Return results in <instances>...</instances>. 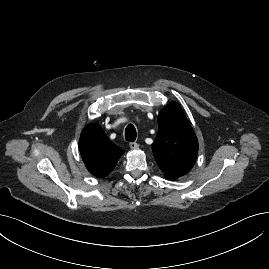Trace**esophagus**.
Wrapping results in <instances>:
<instances>
[{"label":"esophagus","instance_id":"obj_1","mask_svg":"<svg viewBox=\"0 0 269 269\" xmlns=\"http://www.w3.org/2000/svg\"><path fill=\"white\" fill-rule=\"evenodd\" d=\"M129 147H130L131 149H136V148L139 147V144L136 143V142H130V143H129Z\"/></svg>","mask_w":269,"mask_h":269}]
</instances>
